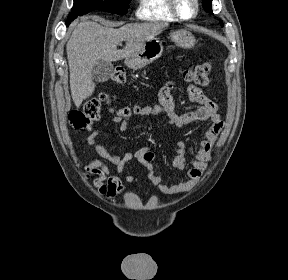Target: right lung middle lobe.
Instances as JSON below:
<instances>
[{"label":"right lung middle lobe","instance_id":"obj_1","mask_svg":"<svg viewBox=\"0 0 288 280\" xmlns=\"http://www.w3.org/2000/svg\"><path fill=\"white\" fill-rule=\"evenodd\" d=\"M130 0H74L73 8L67 21L74 20L93 10H102L118 15L127 12Z\"/></svg>","mask_w":288,"mask_h":280}]
</instances>
